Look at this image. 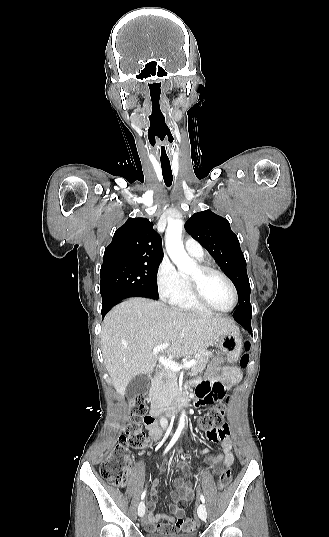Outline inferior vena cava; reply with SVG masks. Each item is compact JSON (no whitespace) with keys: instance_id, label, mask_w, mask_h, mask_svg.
<instances>
[{"instance_id":"obj_1","label":"inferior vena cava","mask_w":329,"mask_h":537,"mask_svg":"<svg viewBox=\"0 0 329 537\" xmlns=\"http://www.w3.org/2000/svg\"><path fill=\"white\" fill-rule=\"evenodd\" d=\"M160 425H161L162 428H166L167 425H168V420L166 418H164V417H161Z\"/></svg>"}]
</instances>
